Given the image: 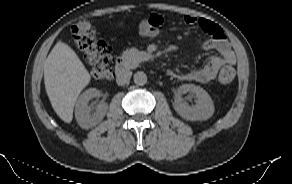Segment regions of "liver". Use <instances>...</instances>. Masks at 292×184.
Instances as JSON below:
<instances>
[{"mask_svg": "<svg viewBox=\"0 0 292 184\" xmlns=\"http://www.w3.org/2000/svg\"><path fill=\"white\" fill-rule=\"evenodd\" d=\"M90 80L75 51L58 41L44 63V83L54 111L64 122L72 121L75 102Z\"/></svg>", "mask_w": 292, "mask_h": 184, "instance_id": "6515ba94", "label": "liver"}]
</instances>
